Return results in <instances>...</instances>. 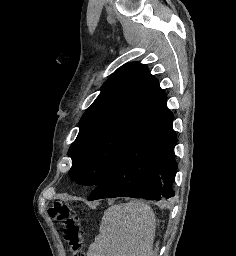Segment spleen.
<instances>
[{
	"label": "spleen",
	"instance_id": "3e777b00",
	"mask_svg": "<svg viewBox=\"0 0 236 256\" xmlns=\"http://www.w3.org/2000/svg\"><path fill=\"white\" fill-rule=\"evenodd\" d=\"M155 228V214L143 202L110 206L87 256H152Z\"/></svg>",
	"mask_w": 236,
	"mask_h": 256
}]
</instances>
